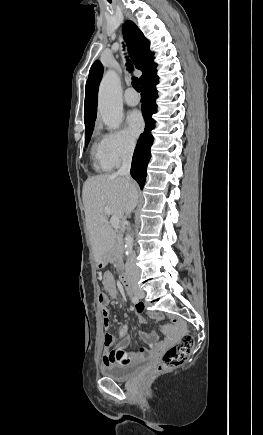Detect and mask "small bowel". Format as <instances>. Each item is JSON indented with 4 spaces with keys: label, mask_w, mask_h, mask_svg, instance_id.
I'll return each mask as SVG.
<instances>
[{
    "label": "small bowel",
    "mask_w": 263,
    "mask_h": 435,
    "mask_svg": "<svg viewBox=\"0 0 263 435\" xmlns=\"http://www.w3.org/2000/svg\"><path fill=\"white\" fill-rule=\"evenodd\" d=\"M103 287L107 292L104 301L101 303L102 317L104 328L110 327V314L107 305L110 303L111 299L115 298L117 294V288L115 284V279L112 273L106 272L103 276ZM143 304H138L135 306V316L139 323H145V318ZM119 337L121 341L116 345L113 350H103V363L105 366L109 365H126L137 361H140L148 356L159 355L168 345L172 344L176 340V336L172 335L164 340H159L157 333H142L140 335L141 339L149 344V348L141 347L135 352L129 353L126 351L127 346L130 343V336L128 335L127 326H122L119 329Z\"/></svg>",
    "instance_id": "small-bowel-1"
}]
</instances>
